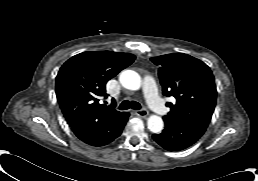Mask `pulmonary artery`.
<instances>
[{"mask_svg":"<svg viewBox=\"0 0 258 181\" xmlns=\"http://www.w3.org/2000/svg\"><path fill=\"white\" fill-rule=\"evenodd\" d=\"M143 90L149 107L158 115L166 113V107L158 95L155 82L152 78L146 77L143 82Z\"/></svg>","mask_w":258,"mask_h":181,"instance_id":"obj_1","label":"pulmonary artery"}]
</instances>
